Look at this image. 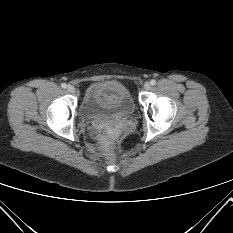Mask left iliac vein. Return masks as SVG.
<instances>
[{"instance_id": "1", "label": "left iliac vein", "mask_w": 233, "mask_h": 233, "mask_svg": "<svg viewBox=\"0 0 233 233\" xmlns=\"http://www.w3.org/2000/svg\"><path fill=\"white\" fill-rule=\"evenodd\" d=\"M143 87L145 90H149L151 88V85L149 82H146Z\"/></svg>"}]
</instances>
